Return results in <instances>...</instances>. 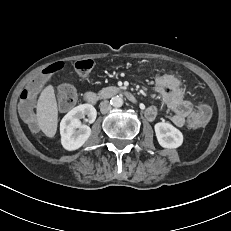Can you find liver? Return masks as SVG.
<instances>
[{
	"label": "liver",
	"instance_id": "1",
	"mask_svg": "<svg viewBox=\"0 0 231 231\" xmlns=\"http://www.w3.org/2000/svg\"><path fill=\"white\" fill-rule=\"evenodd\" d=\"M36 117L39 128L49 138L57 132L58 108L52 85L45 87L37 101Z\"/></svg>",
	"mask_w": 231,
	"mask_h": 231
}]
</instances>
